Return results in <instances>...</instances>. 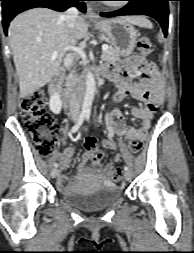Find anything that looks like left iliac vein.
I'll use <instances>...</instances> for the list:
<instances>
[{
  "label": "left iliac vein",
  "mask_w": 194,
  "mask_h": 253,
  "mask_svg": "<svg viewBox=\"0 0 194 253\" xmlns=\"http://www.w3.org/2000/svg\"><path fill=\"white\" fill-rule=\"evenodd\" d=\"M124 177L127 181H130L132 179V173L129 170L125 171Z\"/></svg>",
  "instance_id": "1"
}]
</instances>
